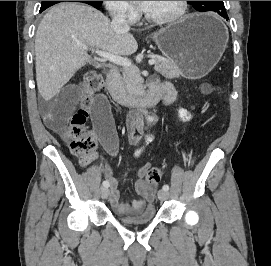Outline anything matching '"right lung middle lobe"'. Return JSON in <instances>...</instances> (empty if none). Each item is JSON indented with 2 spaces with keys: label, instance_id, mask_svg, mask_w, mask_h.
<instances>
[{
  "label": "right lung middle lobe",
  "instance_id": "right-lung-middle-lobe-1",
  "mask_svg": "<svg viewBox=\"0 0 271 266\" xmlns=\"http://www.w3.org/2000/svg\"><path fill=\"white\" fill-rule=\"evenodd\" d=\"M59 2H62V1H42L41 8H48V7H50L56 3H59ZM89 2L98 4L100 6L102 4V1H89Z\"/></svg>",
  "mask_w": 271,
  "mask_h": 266
}]
</instances>
